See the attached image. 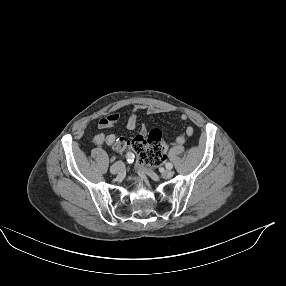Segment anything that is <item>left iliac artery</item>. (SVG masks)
I'll return each mask as SVG.
<instances>
[{"label":"left iliac artery","mask_w":286,"mask_h":286,"mask_svg":"<svg viewBox=\"0 0 286 286\" xmlns=\"http://www.w3.org/2000/svg\"><path fill=\"white\" fill-rule=\"evenodd\" d=\"M165 166H166V168L169 169V170L173 168V165H172L171 163H166Z\"/></svg>","instance_id":"obj_1"}]
</instances>
